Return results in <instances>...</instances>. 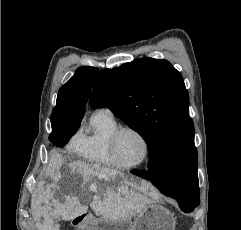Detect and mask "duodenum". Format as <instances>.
<instances>
[{"label": "duodenum", "mask_w": 241, "mask_h": 230, "mask_svg": "<svg viewBox=\"0 0 241 230\" xmlns=\"http://www.w3.org/2000/svg\"><path fill=\"white\" fill-rule=\"evenodd\" d=\"M88 219H89V216L87 214H81V215L76 216L73 219L72 223L74 226L79 227V226L84 225L88 221Z\"/></svg>", "instance_id": "1"}]
</instances>
